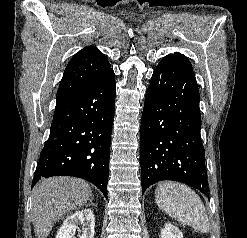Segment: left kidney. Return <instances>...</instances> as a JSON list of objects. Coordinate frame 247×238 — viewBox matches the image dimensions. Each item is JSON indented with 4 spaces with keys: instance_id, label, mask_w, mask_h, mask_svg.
Here are the masks:
<instances>
[{
    "instance_id": "obj_1",
    "label": "left kidney",
    "mask_w": 247,
    "mask_h": 238,
    "mask_svg": "<svg viewBox=\"0 0 247 238\" xmlns=\"http://www.w3.org/2000/svg\"><path fill=\"white\" fill-rule=\"evenodd\" d=\"M161 238H183V234L174 225L166 223L164 229L161 230Z\"/></svg>"
}]
</instances>
